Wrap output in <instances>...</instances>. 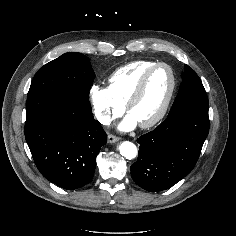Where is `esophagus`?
<instances>
[{
    "label": "esophagus",
    "instance_id": "34e87169",
    "mask_svg": "<svg viewBox=\"0 0 236 236\" xmlns=\"http://www.w3.org/2000/svg\"><path fill=\"white\" fill-rule=\"evenodd\" d=\"M119 140H120L119 137H117V136H115V135H112V134H109L108 137H107V142H108L109 144L118 142Z\"/></svg>",
    "mask_w": 236,
    "mask_h": 236
}]
</instances>
